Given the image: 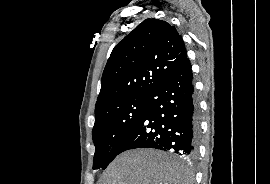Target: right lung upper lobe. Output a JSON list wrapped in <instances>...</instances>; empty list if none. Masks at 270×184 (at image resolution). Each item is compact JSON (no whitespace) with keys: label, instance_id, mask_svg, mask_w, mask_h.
<instances>
[{"label":"right lung upper lobe","instance_id":"obj_1","mask_svg":"<svg viewBox=\"0 0 270 184\" xmlns=\"http://www.w3.org/2000/svg\"><path fill=\"white\" fill-rule=\"evenodd\" d=\"M187 59L175 27L158 19L144 20L114 47L108 59L95 106L96 119L107 108L147 96Z\"/></svg>","mask_w":270,"mask_h":184}]
</instances>
